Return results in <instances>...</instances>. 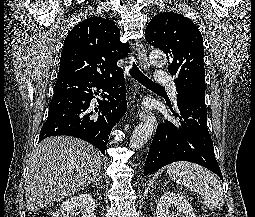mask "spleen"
Listing matches in <instances>:
<instances>
[{"label": "spleen", "instance_id": "obj_1", "mask_svg": "<svg viewBox=\"0 0 255 217\" xmlns=\"http://www.w3.org/2000/svg\"><path fill=\"white\" fill-rule=\"evenodd\" d=\"M170 178L201 195L210 210H216L224 204L222 185L214 174L205 168L190 162H174L167 166Z\"/></svg>", "mask_w": 255, "mask_h": 217}]
</instances>
